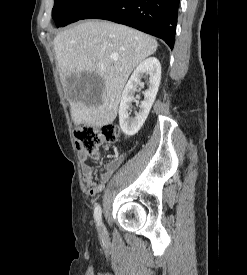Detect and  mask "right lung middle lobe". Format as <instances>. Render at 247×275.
<instances>
[{
	"label": "right lung middle lobe",
	"mask_w": 247,
	"mask_h": 275,
	"mask_svg": "<svg viewBox=\"0 0 247 275\" xmlns=\"http://www.w3.org/2000/svg\"><path fill=\"white\" fill-rule=\"evenodd\" d=\"M100 0H54L52 17L57 27H64L81 19L83 14Z\"/></svg>",
	"instance_id": "obj_1"
}]
</instances>
